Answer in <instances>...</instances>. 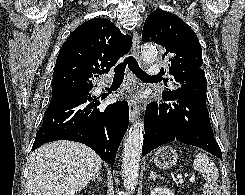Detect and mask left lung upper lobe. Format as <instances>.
Listing matches in <instances>:
<instances>
[{"label":"left lung upper lobe","mask_w":245,"mask_h":195,"mask_svg":"<svg viewBox=\"0 0 245 195\" xmlns=\"http://www.w3.org/2000/svg\"><path fill=\"white\" fill-rule=\"evenodd\" d=\"M142 40L164 47V56L173 55L169 59L170 80L179 88L164 92V97L194 96L206 101L207 83L205 72L200 68L202 49L197 35L182 19L161 10L152 12L144 23Z\"/></svg>","instance_id":"1"}]
</instances>
